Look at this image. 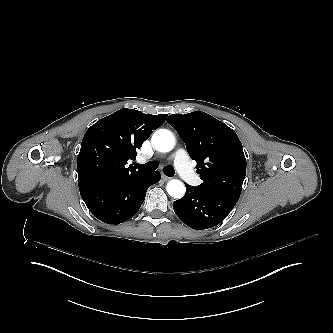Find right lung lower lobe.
Returning <instances> with one entry per match:
<instances>
[{
  "mask_svg": "<svg viewBox=\"0 0 333 333\" xmlns=\"http://www.w3.org/2000/svg\"><path fill=\"white\" fill-rule=\"evenodd\" d=\"M161 178L158 171H137L114 180L95 178L78 181L79 190L89 211L107 224H119L134 216L146 191Z\"/></svg>",
  "mask_w": 333,
  "mask_h": 333,
  "instance_id": "obj_1",
  "label": "right lung lower lobe"
}]
</instances>
